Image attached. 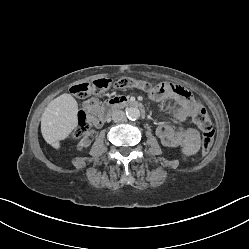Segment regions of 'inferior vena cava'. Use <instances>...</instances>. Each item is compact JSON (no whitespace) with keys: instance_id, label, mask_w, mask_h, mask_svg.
Here are the masks:
<instances>
[{"instance_id":"inferior-vena-cava-1","label":"inferior vena cava","mask_w":249,"mask_h":249,"mask_svg":"<svg viewBox=\"0 0 249 249\" xmlns=\"http://www.w3.org/2000/svg\"><path fill=\"white\" fill-rule=\"evenodd\" d=\"M112 120L116 123L118 122H124L126 120V115L124 113V111L122 110H115L112 113Z\"/></svg>"}]
</instances>
